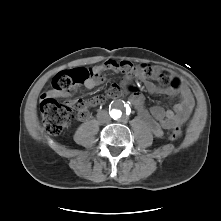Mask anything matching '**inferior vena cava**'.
Returning <instances> with one entry per match:
<instances>
[{
	"instance_id": "602c4592",
	"label": "inferior vena cava",
	"mask_w": 221,
	"mask_h": 221,
	"mask_svg": "<svg viewBox=\"0 0 221 221\" xmlns=\"http://www.w3.org/2000/svg\"><path fill=\"white\" fill-rule=\"evenodd\" d=\"M97 118L100 122L108 123L111 118L106 111H101L97 114Z\"/></svg>"
}]
</instances>
